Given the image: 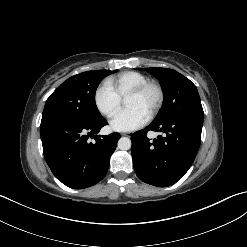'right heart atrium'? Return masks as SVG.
I'll return each instance as SVG.
<instances>
[{"label":"right heart atrium","mask_w":247,"mask_h":247,"mask_svg":"<svg viewBox=\"0 0 247 247\" xmlns=\"http://www.w3.org/2000/svg\"><path fill=\"white\" fill-rule=\"evenodd\" d=\"M94 104L103 116L111 118L118 112L121 99L107 84H103L95 90Z\"/></svg>","instance_id":"d8ad5b80"}]
</instances>
